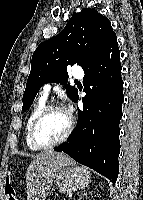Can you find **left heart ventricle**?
Masks as SVG:
<instances>
[{
    "label": "left heart ventricle",
    "instance_id": "b2bd125f",
    "mask_svg": "<svg viewBox=\"0 0 143 200\" xmlns=\"http://www.w3.org/2000/svg\"><path fill=\"white\" fill-rule=\"evenodd\" d=\"M68 124V114L63 110H54L40 124L37 137L42 143L56 141L65 133Z\"/></svg>",
    "mask_w": 143,
    "mask_h": 200
}]
</instances>
